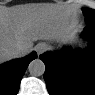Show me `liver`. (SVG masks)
<instances>
[{"mask_svg": "<svg viewBox=\"0 0 95 95\" xmlns=\"http://www.w3.org/2000/svg\"><path fill=\"white\" fill-rule=\"evenodd\" d=\"M75 12L49 3L2 7L0 10V62L12 60L15 46L29 53L37 40L62 41L76 30ZM22 55V56H24Z\"/></svg>", "mask_w": 95, "mask_h": 95, "instance_id": "6515ba94", "label": "liver"}]
</instances>
